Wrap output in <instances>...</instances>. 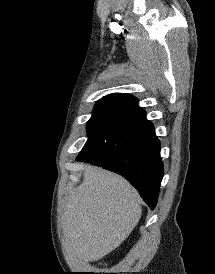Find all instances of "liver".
Masks as SVG:
<instances>
[{
	"label": "liver",
	"mask_w": 215,
	"mask_h": 274,
	"mask_svg": "<svg viewBox=\"0 0 215 274\" xmlns=\"http://www.w3.org/2000/svg\"><path fill=\"white\" fill-rule=\"evenodd\" d=\"M83 182L65 198L62 232L81 261H98L129 236L142 208L138 192L121 176L86 166Z\"/></svg>",
	"instance_id": "6515ba94"
}]
</instances>
